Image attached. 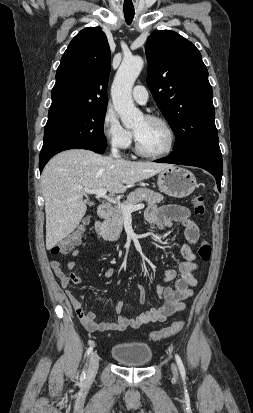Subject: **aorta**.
Returning <instances> with one entry per match:
<instances>
[{"label": "aorta", "mask_w": 253, "mask_h": 413, "mask_svg": "<svg viewBox=\"0 0 253 413\" xmlns=\"http://www.w3.org/2000/svg\"><path fill=\"white\" fill-rule=\"evenodd\" d=\"M143 65L144 61L139 56L125 58L111 87L114 108L120 115L123 125L127 128L138 124L143 118L142 112L135 107L132 99V87Z\"/></svg>", "instance_id": "aorta-1"}]
</instances>
